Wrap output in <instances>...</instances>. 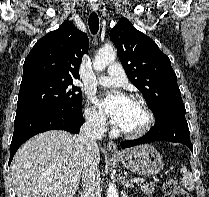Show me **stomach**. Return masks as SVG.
Segmentation results:
<instances>
[{"mask_svg": "<svg viewBox=\"0 0 209 197\" xmlns=\"http://www.w3.org/2000/svg\"><path fill=\"white\" fill-rule=\"evenodd\" d=\"M117 157L125 168L143 176L156 175L164 166L162 156L149 144L125 150L117 154Z\"/></svg>", "mask_w": 209, "mask_h": 197, "instance_id": "1", "label": "stomach"}]
</instances>
